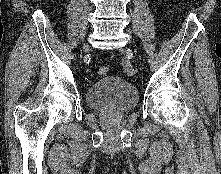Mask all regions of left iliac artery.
<instances>
[{
	"mask_svg": "<svg viewBox=\"0 0 221 174\" xmlns=\"http://www.w3.org/2000/svg\"><path fill=\"white\" fill-rule=\"evenodd\" d=\"M121 64L124 68V71L128 74V75H133L134 74V69L131 65L130 59L128 57H123Z\"/></svg>",
	"mask_w": 221,
	"mask_h": 174,
	"instance_id": "44dca946",
	"label": "left iliac artery"
}]
</instances>
